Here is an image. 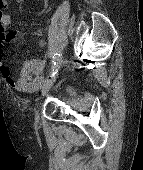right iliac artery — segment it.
Here are the masks:
<instances>
[{
	"label": "right iliac artery",
	"instance_id": "obj_1",
	"mask_svg": "<svg viewBox=\"0 0 143 170\" xmlns=\"http://www.w3.org/2000/svg\"><path fill=\"white\" fill-rule=\"evenodd\" d=\"M53 67H52V71H51V77H54L58 70H59V67H60V64H61V56L60 54H54L53 56Z\"/></svg>",
	"mask_w": 143,
	"mask_h": 170
}]
</instances>
